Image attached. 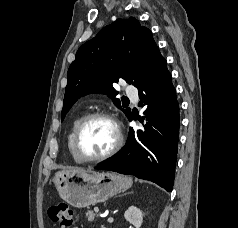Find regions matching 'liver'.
Instances as JSON below:
<instances>
[{
    "instance_id": "1",
    "label": "liver",
    "mask_w": 238,
    "mask_h": 228,
    "mask_svg": "<svg viewBox=\"0 0 238 228\" xmlns=\"http://www.w3.org/2000/svg\"><path fill=\"white\" fill-rule=\"evenodd\" d=\"M68 171H70V172H85L83 169H80V168H71Z\"/></svg>"
}]
</instances>
